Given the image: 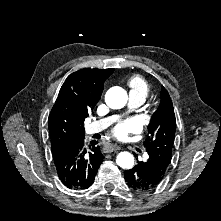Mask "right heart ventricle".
<instances>
[{"instance_id":"right-heart-ventricle-1","label":"right heart ventricle","mask_w":221,"mask_h":221,"mask_svg":"<svg viewBox=\"0 0 221 221\" xmlns=\"http://www.w3.org/2000/svg\"><path fill=\"white\" fill-rule=\"evenodd\" d=\"M128 85L131 88L130 93L141 95L146 98L149 93V84L141 75H134L128 79Z\"/></svg>"}]
</instances>
